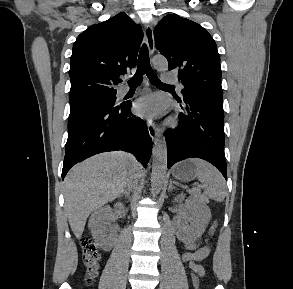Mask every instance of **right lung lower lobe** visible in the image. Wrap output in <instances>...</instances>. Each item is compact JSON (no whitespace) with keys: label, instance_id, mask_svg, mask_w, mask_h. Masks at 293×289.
Returning a JSON list of instances; mask_svg holds the SVG:
<instances>
[{"label":"right lung lower lobe","instance_id":"1","mask_svg":"<svg viewBox=\"0 0 293 289\" xmlns=\"http://www.w3.org/2000/svg\"><path fill=\"white\" fill-rule=\"evenodd\" d=\"M131 105L125 102L68 122L62 178L76 163L106 151L131 152L147 165L152 140L145 122L131 114Z\"/></svg>","mask_w":293,"mask_h":289}]
</instances>
